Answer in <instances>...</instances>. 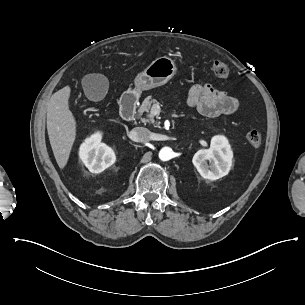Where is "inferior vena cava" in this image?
<instances>
[{
    "label": "inferior vena cava",
    "instance_id": "inferior-vena-cava-1",
    "mask_svg": "<svg viewBox=\"0 0 305 305\" xmlns=\"http://www.w3.org/2000/svg\"><path fill=\"white\" fill-rule=\"evenodd\" d=\"M150 134L147 128L136 127L129 133V137L136 142H146L150 139Z\"/></svg>",
    "mask_w": 305,
    "mask_h": 305
}]
</instances>
